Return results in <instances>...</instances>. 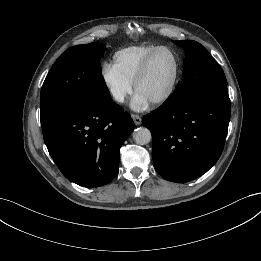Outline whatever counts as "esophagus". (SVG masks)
<instances>
[{
	"label": "esophagus",
	"mask_w": 261,
	"mask_h": 261,
	"mask_svg": "<svg viewBox=\"0 0 261 261\" xmlns=\"http://www.w3.org/2000/svg\"><path fill=\"white\" fill-rule=\"evenodd\" d=\"M131 117H132L135 125L139 126L141 124L142 119H141V117L139 115L132 114Z\"/></svg>",
	"instance_id": "esophagus-1"
}]
</instances>
